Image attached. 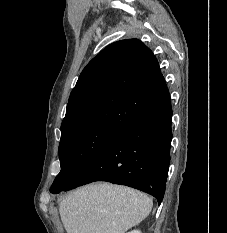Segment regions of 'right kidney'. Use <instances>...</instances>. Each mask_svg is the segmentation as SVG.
Segmentation results:
<instances>
[{
    "label": "right kidney",
    "instance_id": "right-kidney-1",
    "mask_svg": "<svg viewBox=\"0 0 227 233\" xmlns=\"http://www.w3.org/2000/svg\"><path fill=\"white\" fill-rule=\"evenodd\" d=\"M128 233H141V231H139V230H133V231H130Z\"/></svg>",
    "mask_w": 227,
    "mask_h": 233
}]
</instances>
